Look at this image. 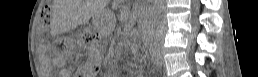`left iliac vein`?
<instances>
[{
    "mask_svg": "<svg viewBox=\"0 0 258 77\" xmlns=\"http://www.w3.org/2000/svg\"><path fill=\"white\" fill-rule=\"evenodd\" d=\"M160 61L163 63V60H162V59H160Z\"/></svg>",
    "mask_w": 258,
    "mask_h": 77,
    "instance_id": "4c4485c4",
    "label": "left iliac vein"
}]
</instances>
